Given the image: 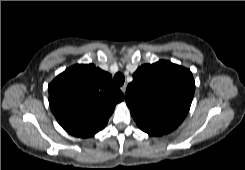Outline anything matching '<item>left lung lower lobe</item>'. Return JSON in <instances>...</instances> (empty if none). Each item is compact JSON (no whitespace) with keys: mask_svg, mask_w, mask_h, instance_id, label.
I'll use <instances>...</instances> for the list:
<instances>
[{"mask_svg":"<svg viewBox=\"0 0 245 170\" xmlns=\"http://www.w3.org/2000/svg\"><path fill=\"white\" fill-rule=\"evenodd\" d=\"M145 131L146 133H148L149 135H152V136H160V135H163V134H160V133H157V132H154V131H147V130H143Z\"/></svg>","mask_w":245,"mask_h":170,"instance_id":"1","label":"left lung lower lobe"}]
</instances>
